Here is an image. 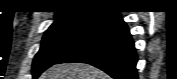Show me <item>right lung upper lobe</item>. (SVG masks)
I'll return each instance as SVG.
<instances>
[{"label":"right lung upper lobe","mask_w":177,"mask_h":79,"mask_svg":"<svg viewBox=\"0 0 177 79\" xmlns=\"http://www.w3.org/2000/svg\"><path fill=\"white\" fill-rule=\"evenodd\" d=\"M111 11H105L100 1L81 0L70 2L62 10L56 12L55 22L83 19L87 17H104Z\"/></svg>","instance_id":"obj_1"}]
</instances>
